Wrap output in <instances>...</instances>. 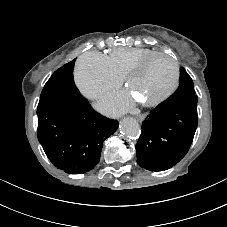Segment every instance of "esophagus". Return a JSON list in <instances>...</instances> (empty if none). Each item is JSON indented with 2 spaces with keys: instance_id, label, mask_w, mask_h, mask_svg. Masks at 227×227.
I'll return each mask as SVG.
<instances>
[{
  "instance_id": "esophagus-1",
  "label": "esophagus",
  "mask_w": 227,
  "mask_h": 227,
  "mask_svg": "<svg viewBox=\"0 0 227 227\" xmlns=\"http://www.w3.org/2000/svg\"><path fill=\"white\" fill-rule=\"evenodd\" d=\"M146 115L145 114H139L136 116L137 120L142 122L145 119Z\"/></svg>"
}]
</instances>
